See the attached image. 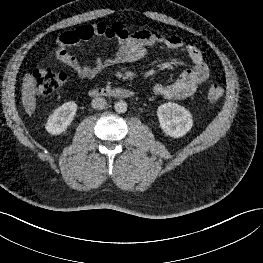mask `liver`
Segmentation results:
<instances>
[{"label": "liver", "instance_id": "obj_1", "mask_svg": "<svg viewBox=\"0 0 263 263\" xmlns=\"http://www.w3.org/2000/svg\"><path fill=\"white\" fill-rule=\"evenodd\" d=\"M34 77L26 73L22 84V104L28 115H32L36 108Z\"/></svg>", "mask_w": 263, "mask_h": 263}]
</instances>
